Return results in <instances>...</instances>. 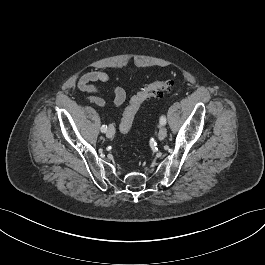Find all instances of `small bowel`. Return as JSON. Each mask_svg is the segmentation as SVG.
<instances>
[{
    "label": "small bowel",
    "instance_id": "c3829d8e",
    "mask_svg": "<svg viewBox=\"0 0 265 265\" xmlns=\"http://www.w3.org/2000/svg\"><path fill=\"white\" fill-rule=\"evenodd\" d=\"M111 76L101 70H91L84 73L78 80L77 86L81 91L87 93V99L98 107H106V101L100 96L96 82H110ZM114 98V105L120 107L126 100V92L122 87H115L111 90Z\"/></svg>",
    "mask_w": 265,
    "mask_h": 265
}]
</instances>
